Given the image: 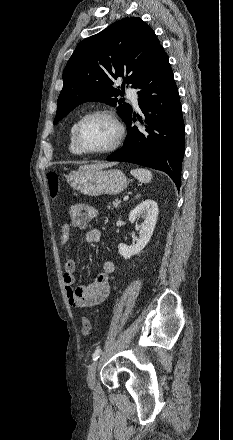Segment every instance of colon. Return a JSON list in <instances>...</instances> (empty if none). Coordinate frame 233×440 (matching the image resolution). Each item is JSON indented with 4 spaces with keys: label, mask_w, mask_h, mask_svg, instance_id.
<instances>
[{
    "label": "colon",
    "mask_w": 233,
    "mask_h": 440,
    "mask_svg": "<svg viewBox=\"0 0 233 440\" xmlns=\"http://www.w3.org/2000/svg\"><path fill=\"white\" fill-rule=\"evenodd\" d=\"M59 184H60V179L59 176L56 172H49L47 174V185H48V191H49V195L52 198H56L59 194ZM92 330V324L91 321L84 317L82 319V333L84 335H89L91 333Z\"/></svg>",
    "instance_id": "obj_1"
}]
</instances>
